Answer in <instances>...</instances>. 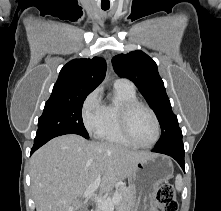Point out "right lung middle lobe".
Returning <instances> with one entry per match:
<instances>
[{"instance_id":"right-lung-middle-lobe-1","label":"right lung middle lobe","mask_w":221,"mask_h":211,"mask_svg":"<svg viewBox=\"0 0 221 211\" xmlns=\"http://www.w3.org/2000/svg\"><path fill=\"white\" fill-rule=\"evenodd\" d=\"M88 94L79 96H51L38 119L35 140L64 134L89 135L82 121L81 110Z\"/></svg>"}]
</instances>
